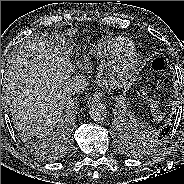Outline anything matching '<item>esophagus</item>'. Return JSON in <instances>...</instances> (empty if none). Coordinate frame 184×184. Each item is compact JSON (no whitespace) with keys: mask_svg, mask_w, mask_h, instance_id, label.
Returning <instances> with one entry per match:
<instances>
[{"mask_svg":"<svg viewBox=\"0 0 184 184\" xmlns=\"http://www.w3.org/2000/svg\"><path fill=\"white\" fill-rule=\"evenodd\" d=\"M99 100H100L99 95L94 94V95L90 96V97L87 99V102L91 104V103H94V102H98Z\"/></svg>","mask_w":184,"mask_h":184,"instance_id":"esophagus-1","label":"esophagus"}]
</instances>
